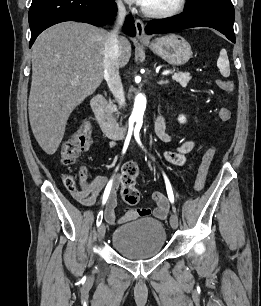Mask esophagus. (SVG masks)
I'll use <instances>...</instances> for the list:
<instances>
[{
	"mask_svg": "<svg viewBox=\"0 0 261 306\" xmlns=\"http://www.w3.org/2000/svg\"><path fill=\"white\" fill-rule=\"evenodd\" d=\"M136 37L140 41H148L149 37L145 33L144 23L140 19L135 20Z\"/></svg>",
	"mask_w": 261,
	"mask_h": 306,
	"instance_id": "34e87169",
	"label": "esophagus"
}]
</instances>
